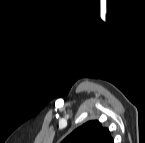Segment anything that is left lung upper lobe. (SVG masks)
<instances>
[{"label":"left lung upper lobe","instance_id":"obj_1","mask_svg":"<svg viewBox=\"0 0 145 143\" xmlns=\"http://www.w3.org/2000/svg\"><path fill=\"white\" fill-rule=\"evenodd\" d=\"M63 143H114L110 132L98 121H89L67 136Z\"/></svg>","mask_w":145,"mask_h":143}]
</instances>
